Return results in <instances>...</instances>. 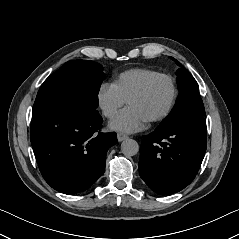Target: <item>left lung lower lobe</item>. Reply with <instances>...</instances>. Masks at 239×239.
<instances>
[{
  "label": "left lung lower lobe",
  "instance_id": "left-lung-lower-lobe-1",
  "mask_svg": "<svg viewBox=\"0 0 239 239\" xmlns=\"http://www.w3.org/2000/svg\"><path fill=\"white\" fill-rule=\"evenodd\" d=\"M204 116H188L143 137L139 173L157 194L181 191L195 178L206 151Z\"/></svg>",
  "mask_w": 239,
  "mask_h": 239
}]
</instances>
